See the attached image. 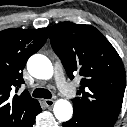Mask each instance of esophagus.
Returning <instances> with one entry per match:
<instances>
[{
  "label": "esophagus",
  "mask_w": 127,
  "mask_h": 127,
  "mask_svg": "<svg viewBox=\"0 0 127 127\" xmlns=\"http://www.w3.org/2000/svg\"><path fill=\"white\" fill-rule=\"evenodd\" d=\"M54 100H52V99H45L44 100V104H45V106L48 108V109H51L52 107H53V105H54Z\"/></svg>",
  "instance_id": "esophagus-1"
}]
</instances>
